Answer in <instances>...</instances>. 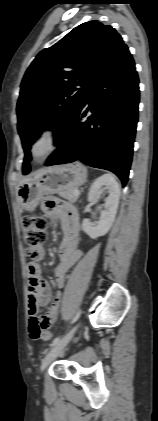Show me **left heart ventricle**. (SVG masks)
<instances>
[{
  "label": "left heart ventricle",
  "instance_id": "left-heart-ventricle-1",
  "mask_svg": "<svg viewBox=\"0 0 158 421\" xmlns=\"http://www.w3.org/2000/svg\"><path fill=\"white\" fill-rule=\"evenodd\" d=\"M47 148H48L47 142L43 141V142H41L40 144L37 145L36 152L38 154H41V153L45 152Z\"/></svg>",
  "mask_w": 158,
  "mask_h": 421
}]
</instances>
